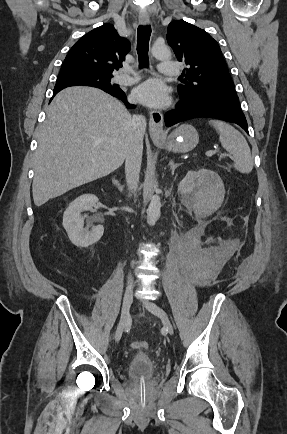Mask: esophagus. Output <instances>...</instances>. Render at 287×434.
<instances>
[{
	"label": "esophagus",
	"mask_w": 287,
	"mask_h": 434,
	"mask_svg": "<svg viewBox=\"0 0 287 434\" xmlns=\"http://www.w3.org/2000/svg\"><path fill=\"white\" fill-rule=\"evenodd\" d=\"M139 23L142 25L149 24V16L147 13L139 14ZM149 133L153 140H159L163 133V114L160 111H150L149 118Z\"/></svg>",
	"instance_id": "1"
}]
</instances>
